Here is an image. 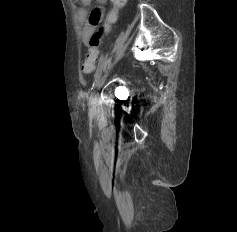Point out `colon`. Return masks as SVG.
<instances>
[{
  "label": "colon",
  "instance_id": "5ec220e1",
  "mask_svg": "<svg viewBox=\"0 0 237 232\" xmlns=\"http://www.w3.org/2000/svg\"><path fill=\"white\" fill-rule=\"evenodd\" d=\"M128 0H111L112 8L109 11L104 25L100 28V31L94 34L89 40V50L85 58L81 62V70L84 74H90L93 72L99 53V47L102 42L103 34L107 32L111 25H113L119 16L120 11L126 5Z\"/></svg>",
  "mask_w": 237,
  "mask_h": 232
}]
</instances>
